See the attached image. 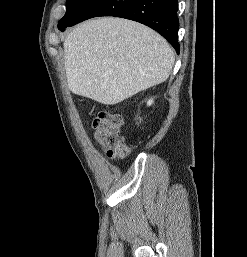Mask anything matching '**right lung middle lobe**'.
I'll list each match as a JSON object with an SVG mask.
<instances>
[{"label":"right lung middle lobe","instance_id":"obj_1","mask_svg":"<svg viewBox=\"0 0 247 257\" xmlns=\"http://www.w3.org/2000/svg\"><path fill=\"white\" fill-rule=\"evenodd\" d=\"M93 0H67L66 13L59 21L58 27L74 21Z\"/></svg>","mask_w":247,"mask_h":257}]
</instances>
